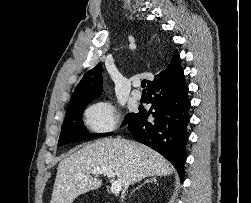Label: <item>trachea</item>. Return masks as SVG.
Returning <instances> with one entry per match:
<instances>
[{"mask_svg":"<svg viewBox=\"0 0 251 203\" xmlns=\"http://www.w3.org/2000/svg\"><path fill=\"white\" fill-rule=\"evenodd\" d=\"M145 86H146V80H143V81L141 82V87L144 89Z\"/></svg>","mask_w":251,"mask_h":203,"instance_id":"1","label":"trachea"}]
</instances>
